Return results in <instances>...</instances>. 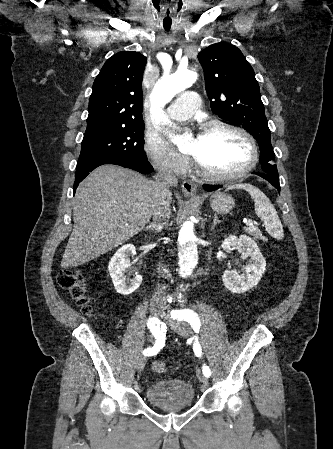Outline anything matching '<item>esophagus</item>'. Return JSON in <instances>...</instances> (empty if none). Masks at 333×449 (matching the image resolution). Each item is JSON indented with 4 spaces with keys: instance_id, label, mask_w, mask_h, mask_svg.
I'll return each instance as SVG.
<instances>
[{
    "instance_id": "obj_1",
    "label": "esophagus",
    "mask_w": 333,
    "mask_h": 449,
    "mask_svg": "<svg viewBox=\"0 0 333 449\" xmlns=\"http://www.w3.org/2000/svg\"><path fill=\"white\" fill-rule=\"evenodd\" d=\"M182 190L189 195H192L196 191V185L189 181L182 182Z\"/></svg>"
}]
</instances>
